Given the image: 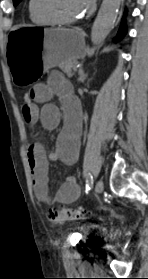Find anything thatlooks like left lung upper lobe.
<instances>
[{
  "label": "left lung upper lobe",
  "instance_id": "1",
  "mask_svg": "<svg viewBox=\"0 0 148 279\" xmlns=\"http://www.w3.org/2000/svg\"><path fill=\"white\" fill-rule=\"evenodd\" d=\"M21 0H13L14 6H16Z\"/></svg>",
  "mask_w": 148,
  "mask_h": 279
}]
</instances>
